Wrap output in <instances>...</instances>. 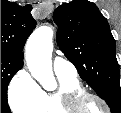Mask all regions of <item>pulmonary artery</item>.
<instances>
[{
    "instance_id": "obj_1",
    "label": "pulmonary artery",
    "mask_w": 121,
    "mask_h": 113,
    "mask_svg": "<svg viewBox=\"0 0 121 113\" xmlns=\"http://www.w3.org/2000/svg\"><path fill=\"white\" fill-rule=\"evenodd\" d=\"M53 69L56 75L76 76V67L61 56H55L53 60Z\"/></svg>"
}]
</instances>
